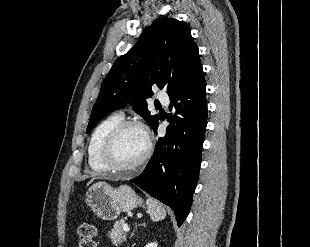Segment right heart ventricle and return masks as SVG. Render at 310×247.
Returning <instances> with one entry per match:
<instances>
[{
    "instance_id": "e07e8e85",
    "label": "right heart ventricle",
    "mask_w": 310,
    "mask_h": 247,
    "mask_svg": "<svg viewBox=\"0 0 310 247\" xmlns=\"http://www.w3.org/2000/svg\"><path fill=\"white\" fill-rule=\"evenodd\" d=\"M122 120V114H112L103 119L93 130L88 144L87 157L88 164L94 172H107L100 160V149L107 134Z\"/></svg>"
}]
</instances>
